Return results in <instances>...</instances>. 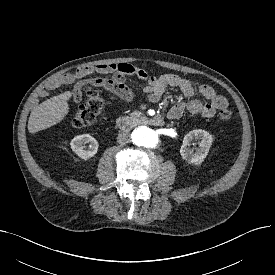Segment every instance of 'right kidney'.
<instances>
[{"instance_id": "right-kidney-1", "label": "right kidney", "mask_w": 275, "mask_h": 275, "mask_svg": "<svg viewBox=\"0 0 275 275\" xmlns=\"http://www.w3.org/2000/svg\"><path fill=\"white\" fill-rule=\"evenodd\" d=\"M90 143L86 149L84 144ZM72 151L84 160L93 157L98 150V142L90 134H82L75 136L70 143Z\"/></svg>"}]
</instances>
